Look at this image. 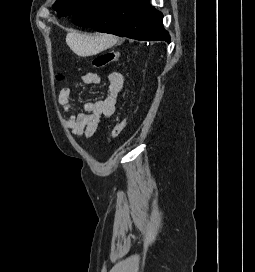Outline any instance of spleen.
Here are the masks:
<instances>
[{"instance_id": "obj_1", "label": "spleen", "mask_w": 255, "mask_h": 272, "mask_svg": "<svg viewBox=\"0 0 255 272\" xmlns=\"http://www.w3.org/2000/svg\"><path fill=\"white\" fill-rule=\"evenodd\" d=\"M115 42L116 38L109 35H87L74 31L66 36V43L70 49L83 57L96 55L114 45Z\"/></svg>"}]
</instances>
